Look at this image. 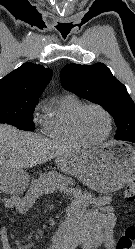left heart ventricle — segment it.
<instances>
[{
  "instance_id": "1",
  "label": "left heart ventricle",
  "mask_w": 135,
  "mask_h": 249,
  "mask_svg": "<svg viewBox=\"0 0 135 249\" xmlns=\"http://www.w3.org/2000/svg\"><path fill=\"white\" fill-rule=\"evenodd\" d=\"M83 133L90 139L102 138L108 130L106 117L97 109H87L80 120Z\"/></svg>"
}]
</instances>
